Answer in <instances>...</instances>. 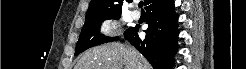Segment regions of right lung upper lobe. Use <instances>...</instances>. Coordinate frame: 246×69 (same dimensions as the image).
I'll list each match as a JSON object with an SVG mask.
<instances>
[{"instance_id":"right-lung-upper-lobe-1","label":"right lung upper lobe","mask_w":246,"mask_h":69,"mask_svg":"<svg viewBox=\"0 0 246 69\" xmlns=\"http://www.w3.org/2000/svg\"><path fill=\"white\" fill-rule=\"evenodd\" d=\"M155 1L157 0L145 1V9ZM122 3L123 0H91L85 21L98 20L113 15H121Z\"/></svg>"}]
</instances>
